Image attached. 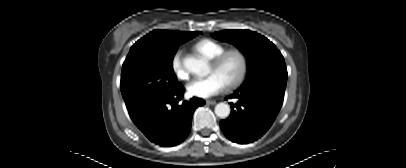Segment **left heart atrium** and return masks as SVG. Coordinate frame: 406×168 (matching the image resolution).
I'll return each mask as SVG.
<instances>
[{"instance_id":"left-heart-atrium-1","label":"left heart atrium","mask_w":406,"mask_h":168,"mask_svg":"<svg viewBox=\"0 0 406 168\" xmlns=\"http://www.w3.org/2000/svg\"><path fill=\"white\" fill-rule=\"evenodd\" d=\"M224 87V83L217 75L210 74L205 78L191 80L187 84V92L194 97L209 98L220 93Z\"/></svg>"}]
</instances>
